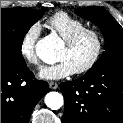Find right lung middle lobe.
<instances>
[{"label": "right lung middle lobe", "instance_id": "obj_1", "mask_svg": "<svg viewBox=\"0 0 123 123\" xmlns=\"http://www.w3.org/2000/svg\"><path fill=\"white\" fill-rule=\"evenodd\" d=\"M45 9H1V60L25 63L21 47L25 34L44 14Z\"/></svg>", "mask_w": 123, "mask_h": 123}]
</instances>
